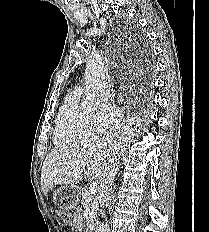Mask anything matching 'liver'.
<instances>
[{"label": "liver", "mask_w": 209, "mask_h": 232, "mask_svg": "<svg viewBox=\"0 0 209 232\" xmlns=\"http://www.w3.org/2000/svg\"><path fill=\"white\" fill-rule=\"evenodd\" d=\"M119 139L95 137L52 151L45 159L41 172V188L46 195L54 185H74L81 181L83 170L73 161L86 162L85 175L87 179L101 180L107 165L118 157Z\"/></svg>", "instance_id": "obj_1"}]
</instances>
